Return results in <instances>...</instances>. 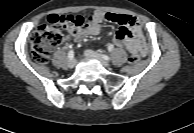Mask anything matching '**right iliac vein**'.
Wrapping results in <instances>:
<instances>
[{
	"label": "right iliac vein",
	"instance_id": "63e3f726",
	"mask_svg": "<svg viewBox=\"0 0 194 133\" xmlns=\"http://www.w3.org/2000/svg\"><path fill=\"white\" fill-rule=\"evenodd\" d=\"M67 65L69 68H74L76 65V60L75 59L69 60Z\"/></svg>",
	"mask_w": 194,
	"mask_h": 133
}]
</instances>
